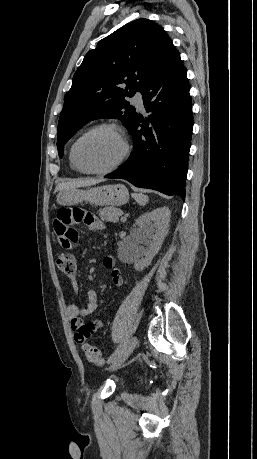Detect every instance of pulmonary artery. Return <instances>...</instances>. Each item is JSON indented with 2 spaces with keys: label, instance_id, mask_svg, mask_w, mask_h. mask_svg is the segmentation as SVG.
Returning a JSON list of instances; mask_svg holds the SVG:
<instances>
[{
  "label": "pulmonary artery",
  "instance_id": "e3ab8cb5",
  "mask_svg": "<svg viewBox=\"0 0 257 459\" xmlns=\"http://www.w3.org/2000/svg\"><path fill=\"white\" fill-rule=\"evenodd\" d=\"M133 103L136 105L137 108L143 109L144 108V103H143V95L140 92H137L133 99Z\"/></svg>",
  "mask_w": 257,
  "mask_h": 459
}]
</instances>
